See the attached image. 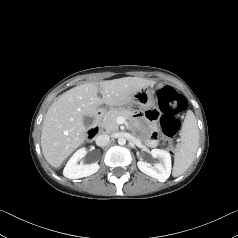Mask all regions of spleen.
<instances>
[{"label": "spleen", "mask_w": 238, "mask_h": 238, "mask_svg": "<svg viewBox=\"0 0 238 238\" xmlns=\"http://www.w3.org/2000/svg\"><path fill=\"white\" fill-rule=\"evenodd\" d=\"M181 143L175 149L173 176L182 175L192 164L199 145L197 120L191 110L184 119L181 129Z\"/></svg>", "instance_id": "3e777b00"}]
</instances>
